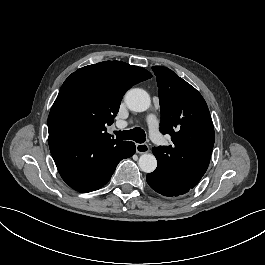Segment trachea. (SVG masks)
I'll use <instances>...</instances> for the list:
<instances>
[{
	"mask_svg": "<svg viewBox=\"0 0 265 265\" xmlns=\"http://www.w3.org/2000/svg\"><path fill=\"white\" fill-rule=\"evenodd\" d=\"M117 139L134 140L137 143L145 142V132L139 127L127 131H114Z\"/></svg>",
	"mask_w": 265,
	"mask_h": 265,
	"instance_id": "3493384b",
	"label": "trachea"
}]
</instances>
